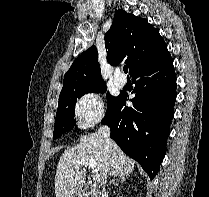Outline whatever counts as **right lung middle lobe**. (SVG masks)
<instances>
[{
  "label": "right lung middle lobe",
  "mask_w": 209,
  "mask_h": 197,
  "mask_svg": "<svg viewBox=\"0 0 209 197\" xmlns=\"http://www.w3.org/2000/svg\"><path fill=\"white\" fill-rule=\"evenodd\" d=\"M105 83H96L89 85H79L68 87L61 91L59 96L58 110L56 113V122L53 132V139L58 138L64 132L71 130L76 126L74 120L76 99L91 92H105ZM116 99L107 94L108 107Z\"/></svg>",
  "instance_id": "obj_1"
}]
</instances>
